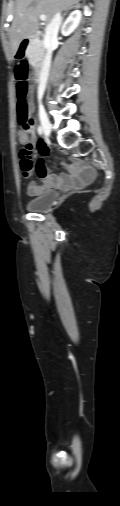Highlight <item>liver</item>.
<instances>
[{"instance_id":"liver-1","label":"liver","mask_w":120,"mask_h":506,"mask_svg":"<svg viewBox=\"0 0 120 506\" xmlns=\"http://www.w3.org/2000/svg\"><path fill=\"white\" fill-rule=\"evenodd\" d=\"M78 2L79 0H16L9 31L12 54L17 53L23 39L39 29L40 15H45L50 22L57 12L67 10Z\"/></svg>"}]
</instances>
